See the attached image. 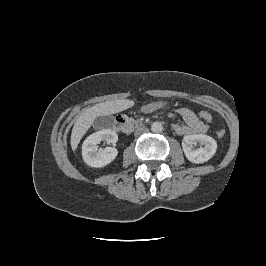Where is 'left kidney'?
Instances as JSON below:
<instances>
[{"mask_svg": "<svg viewBox=\"0 0 266 266\" xmlns=\"http://www.w3.org/2000/svg\"><path fill=\"white\" fill-rule=\"evenodd\" d=\"M200 143L203 147L195 149L193 144ZM182 148L186 158L192 163H204L211 159L217 150V142L204 134L187 135L183 138Z\"/></svg>", "mask_w": 266, "mask_h": 266, "instance_id": "obj_1", "label": "left kidney"}]
</instances>
